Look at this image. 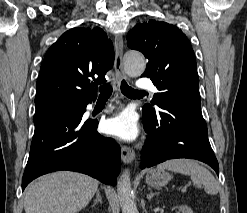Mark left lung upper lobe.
<instances>
[{"label": "left lung upper lobe", "mask_w": 247, "mask_h": 213, "mask_svg": "<svg viewBox=\"0 0 247 213\" xmlns=\"http://www.w3.org/2000/svg\"><path fill=\"white\" fill-rule=\"evenodd\" d=\"M128 47L148 59L142 77H149L159 90L152 104L159 108L168 98H178L200 106L199 77L196 59L185 34L175 25L149 20L137 24L127 35ZM143 120L151 121L156 111L151 105L142 108Z\"/></svg>", "instance_id": "5c2ea615"}]
</instances>
